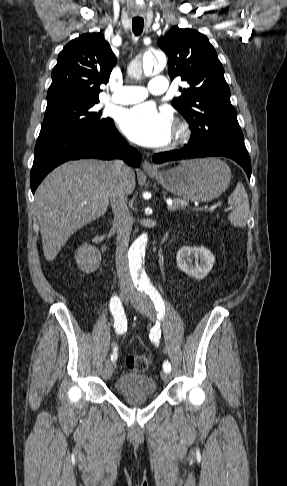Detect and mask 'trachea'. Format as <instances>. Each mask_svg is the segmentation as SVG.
<instances>
[{"instance_id": "obj_1", "label": "trachea", "mask_w": 287, "mask_h": 486, "mask_svg": "<svg viewBox=\"0 0 287 486\" xmlns=\"http://www.w3.org/2000/svg\"><path fill=\"white\" fill-rule=\"evenodd\" d=\"M144 20L141 18H136L132 20V30L136 36L140 35L143 30Z\"/></svg>"}]
</instances>
